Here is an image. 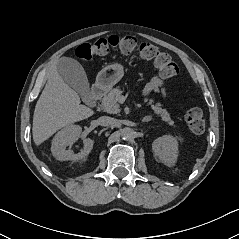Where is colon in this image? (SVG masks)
Listing matches in <instances>:
<instances>
[{
    "instance_id": "5ec220e1",
    "label": "colon",
    "mask_w": 239,
    "mask_h": 239,
    "mask_svg": "<svg viewBox=\"0 0 239 239\" xmlns=\"http://www.w3.org/2000/svg\"><path fill=\"white\" fill-rule=\"evenodd\" d=\"M111 50H118L125 54H130L138 50L139 56L146 61H152L164 78L175 77L178 72L177 64L172 58L150 43L138 45L135 38L131 36H110L101 38L91 43H84L76 49V56L82 60H90L96 55H104ZM185 121L191 131L202 133L205 128L203 113L198 108H189L185 112Z\"/></svg>"
}]
</instances>
